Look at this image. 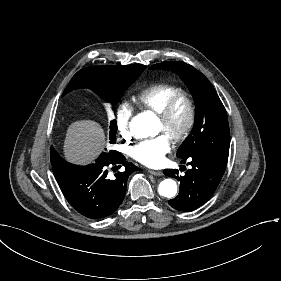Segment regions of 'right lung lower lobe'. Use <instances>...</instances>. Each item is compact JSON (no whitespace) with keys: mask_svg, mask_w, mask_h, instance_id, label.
Wrapping results in <instances>:
<instances>
[{"mask_svg":"<svg viewBox=\"0 0 281 281\" xmlns=\"http://www.w3.org/2000/svg\"><path fill=\"white\" fill-rule=\"evenodd\" d=\"M120 165V166H118ZM124 166L115 177L108 175V169ZM126 162L119 152L101 154L94 164L78 169H52L57 183L69 204L81 215L100 219L114 213L122 203L128 177L138 170Z\"/></svg>","mask_w":281,"mask_h":281,"instance_id":"1","label":"right lung lower lobe"}]
</instances>
